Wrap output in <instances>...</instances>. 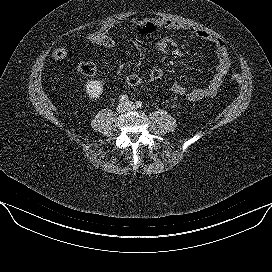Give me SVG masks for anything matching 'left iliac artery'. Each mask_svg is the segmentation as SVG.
<instances>
[{
  "label": "left iliac artery",
  "mask_w": 272,
  "mask_h": 272,
  "mask_svg": "<svg viewBox=\"0 0 272 272\" xmlns=\"http://www.w3.org/2000/svg\"><path fill=\"white\" fill-rule=\"evenodd\" d=\"M136 106H137V108H142L143 107V103L141 101H137L136 102Z\"/></svg>",
  "instance_id": "left-iliac-artery-1"
}]
</instances>
